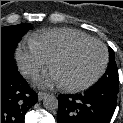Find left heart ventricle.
I'll list each match as a JSON object with an SVG mask.
<instances>
[{
	"mask_svg": "<svg viewBox=\"0 0 123 123\" xmlns=\"http://www.w3.org/2000/svg\"><path fill=\"white\" fill-rule=\"evenodd\" d=\"M103 50L95 43L77 48L68 57L59 60L53 67L62 84L79 85L89 81L100 69Z\"/></svg>",
	"mask_w": 123,
	"mask_h": 123,
	"instance_id": "obj_1",
	"label": "left heart ventricle"
}]
</instances>
